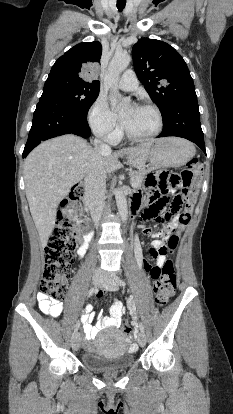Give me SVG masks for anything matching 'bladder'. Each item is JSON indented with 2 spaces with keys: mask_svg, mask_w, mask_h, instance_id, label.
I'll use <instances>...</instances> for the list:
<instances>
[{
  "mask_svg": "<svg viewBox=\"0 0 233 414\" xmlns=\"http://www.w3.org/2000/svg\"><path fill=\"white\" fill-rule=\"evenodd\" d=\"M126 335L119 329L99 333L90 351L82 354V364L94 371L106 372L126 369L133 365Z\"/></svg>",
  "mask_w": 233,
  "mask_h": 414,
  "instance_id": "31cf9c89",
  "label": "bladder"
}]
</instances>
